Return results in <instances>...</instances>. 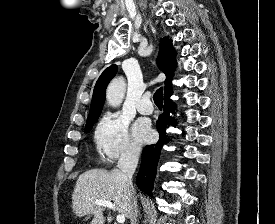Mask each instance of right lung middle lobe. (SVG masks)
I'll use <instances>...</instances> for the list:
<instances>
[{"mask_svg": "<svg viewBox=\"0 0 275 224\" xmlns=\"http://www.w3.org/2000/svg\"><path fill=\"white\" fill-rule=\"evenodd\" d=\"M96 120L92 121V122H89L86 124L85 126V132H89L91 129H92V126L94 125Z\"/></svg>", "mask_w": 275, "mask_h": 224, "instance_id": "obj_1", "label": "right lung middle lobe"}]
</instances>
